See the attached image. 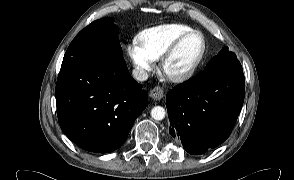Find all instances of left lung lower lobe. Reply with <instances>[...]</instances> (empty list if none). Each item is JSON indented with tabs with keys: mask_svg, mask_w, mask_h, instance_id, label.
I'll list each match as a JSON object with an SVG mask.
<instances>
[{
	"mask_svg": "<svg viewBox=\"0 0 294 180\" xmlns=\"http://www.w3.org/2000/svg\"><path fill=\"white\" fill-rule=\"evenodd\" d=\"M242 70H224L204 80L194 77L167 94L171 137L190 154H204L231 134L243 105Z\"/></svg>",
	"mask_w": 294,
	"mask_h": 180,
	"instance_id": "left-lung-lower-lobe-1",
	"label": "left lung lower lobe"
}]
</instances>
